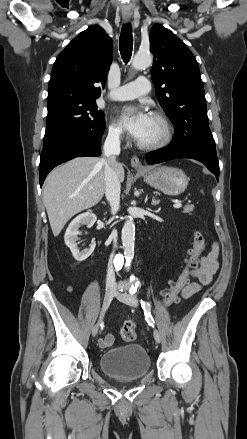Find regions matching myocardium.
<instances>
[{
  "mask_svg": "<svg viewBox=\"0 0 247 439\" xmlns=\"http://www.w3.org/2000/svg\"><path fill=\"white\" fill-rule=\"evenodd\" d=\"M152 117L160 123L163 133L159 140L152 143H142L137 141L138 147L144 150H158L164 148L170 144L173 138V127L169 119L163 113L158 111L153 112Z\"/></svg>",
  "mask_w": 247,
  "mask_h": 439,
  "instance_id": "myocardium-1",
  "label": "myocardium"
}]
</instances>
